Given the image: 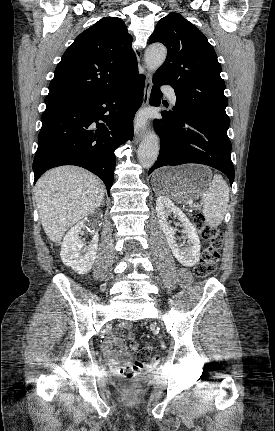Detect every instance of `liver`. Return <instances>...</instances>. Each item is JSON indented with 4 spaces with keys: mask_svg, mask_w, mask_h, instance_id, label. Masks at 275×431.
<instances>
[{
    "mask_svg": "<svg viewBox=\"0 0 275 431\" xmlns=\"http://www.w3.org/2000/svg\"><path fill=\"white\" fill-rule=\"evenodd\" d=\"M34 193L43 229L57 244L69 227L99 207L105 191L101 180L91 172L63 166L45 173Z\"/></svg>",
    "mask_w": 275,
    "mask_h": 431,
    "instance_id": "1",
    "label": "liver"
}]
</instances>
